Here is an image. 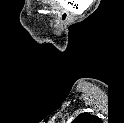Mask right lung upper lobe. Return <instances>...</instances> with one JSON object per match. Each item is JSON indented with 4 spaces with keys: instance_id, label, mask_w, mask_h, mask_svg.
<instances>
[{
    "instance_id": "right-lung-upper-lobe-1",
    "label": "right lung upper lobe",
    "mask_w": 124,
    "mask_h": 123,
    "mask_svg": "<svg viewBox=\"0 0 124 123\" xmlns=\"http://www.w3.org/2000/svg\"><path fill=\"white\" fill-rule=\"evenodd\" d=\"M96 119H98L96 116H93L89 113H81L74 119L73 122L74 123H86V122H91Z\"/></svg>"
}]
</instances>
